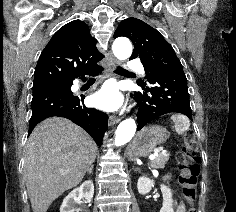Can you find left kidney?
Instances as JSON below:
<instances>
[{
  "instance_id": "obj_1",
  "label": "left kidney",
  "mask_w": 236,
  "mask_h": 212,
  "mask_svg": "<svg viewBox=\"0 0 236 212\" xmlns=\"http://www.w3.org/2000/svg\"><path fill=\"white\" fill-rule=\"evenodd\" d=\"M154 186V181L147 177H140L138 179V192L142 195L149 193ZM161 192L163 195V204L160 212H174L171 189L166 185H161Z\"/></svg>"
}]
</instances>
